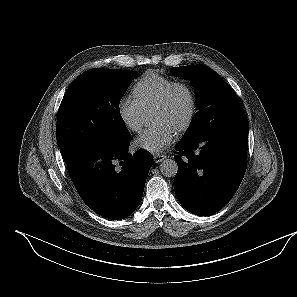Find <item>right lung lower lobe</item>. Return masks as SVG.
Instances as JSON below:
<instances>
[{
	"label": "right lung lower lobe",
	"mask_w": 297,
	"mask_h": 297,
	"mask_svg": "<svg viewBox=\"0 0 297 297\" xmlns=\"http://www.w3.org/2000/svg\"><path fill=\"white\" fill-rule=\"evenodd\" d=\"M131 137L121 144L90 148L67 164L80 197L96 213L121 220L141 202L152 155L140 149L128 153Z\"/></svg>",
	"instance_id": "1"
}]
</instances>
